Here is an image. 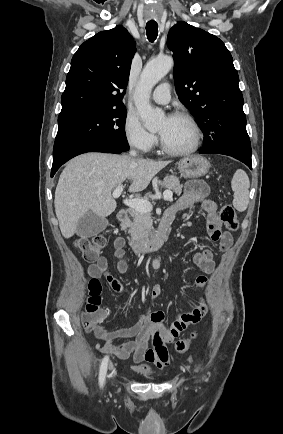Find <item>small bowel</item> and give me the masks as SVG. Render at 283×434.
Returning <instances> with one entry per match:
<instances>
[{"instance_id":"obj_1","label":"small bowel","mask_w":283,"mask_h":434,"mask_svg":"<svg viewBox=\"0 0 283 434\" xmlns=\"http://www.w3.org/2000/svg\"><path fill=\"white\" fill-rule=\"evenodd\" d=\"M209 190L205 183L201 181L189 182L180 199L170 207L163 220L172 224L178 216L185 210L199 203L207 217V231L211 240L218 244L223 251L230 248L233 242L232 235L222 230V222L218 216L217 205L213 200L208 198ZM114 256L117 261V271L125 274L128 270V264L124 259L125 240L117 237L113 243ZM194 263L205 273H211L214 270L215 263L213 252L210 249H204L193 256ZM88 274L91 278H104L111 289L117 292L123 291L122 283L115 278L108 270V261L104 256L88 267ZM207 278L199 276L196 278V285L205 288ZM161 289L155 286L151 293V300L159 297ZM208 312V306L204 300L188 311H183L175 317L170 326H165L163 321L165 315L161 311L147 313L136 324L128 328L116 330H107L104 326H97L91 329L97 339L105 341L102 351L113 354L115 357L125 360L130 356L136 364L135 370L141 371L147 369L148 362L155 364L159 368L165 367L170 360L166 344L172 342L188 325L198 323ZM116 339H125L121 344H115ZM152 339L153 346L149 347L148 341Z\"/></svg>"}]
</instances>
